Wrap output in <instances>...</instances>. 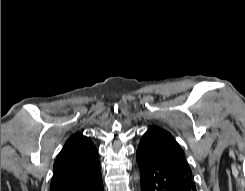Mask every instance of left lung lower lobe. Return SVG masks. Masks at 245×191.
Listing matches in <instances>:
<instances>
[{
  "label": "left lung lower lobe",
  "mask_w": 245,
  "mask_h": 191,
  "mask_svg": "<svg viewBox=\"0 0 245 191\" xmlns=\"http://www.w3.org/2000/svg\"><path fill=\"white\" fill-rule=\"evenodd\" d=\"M136 155L141 177V191H196L192 178L151 160L139 151Z\"/></svg>",
  "instance_id": "0a47b994"
}]
</instances>
